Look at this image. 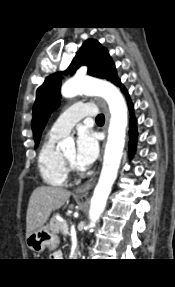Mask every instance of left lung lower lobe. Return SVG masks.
Returning <instances> with one entry per match:
<instances>
[{"label":"left lung lower lobe","instance_id":"left-lung-lower-lobe-1","mask_svg":"<svg viewBox=\"0 0 175 287\" xmlns=\"http://www.w3.org/2000/svg\"><path fill=\"white\" fill-rule=\"evenodd\" d=\"M122 92L127 96V101H128V105H129V109L131 112V120H130V141H129V155L130 157L133 156V154L135 153V149H136V142H137V128H136V120L134 118V114H133V104L130 100L128 91L124 88L121 89Z\"/></svg>","mask_w":175,"mask_h":287}]
</instances>
